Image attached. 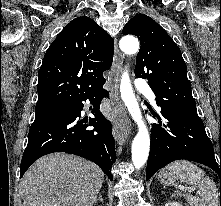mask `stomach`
<instances>
[{
	"label": "stomach",
	"mask_w": 221,
	"mask_h": 206,
	"mask_svg": "<svg viewBox=\"0 0 221 206\" xmlns=\"http://www.w3.org/2000/svg\"><path fill=\"white\" fill-rule=\"evenodd\" d=\"M177 179V175L169 169H164L158 174V180L164 185H173Z\"/></svg>",
	"instance_id": "obj_1"
}]
</instances>
